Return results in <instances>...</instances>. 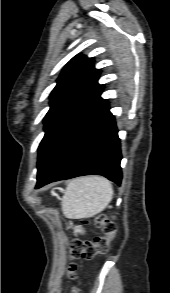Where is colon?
<instances>
[{"label":"colon","instance_id":"1","mask_svg":"<svg viewBox=\"0 0 170 293\" xmlns=\"http://www.w3.org/2000/svg\"><path fill=\"white\" fill-rule=\"evenodd\" d=\"M94 223L101 228L102 235L92 240H73L70 243V257L75 260H92L95 256L104 254L109 249V244L116 234L115 222L104 214L94 218ZM70 277L76 276V267L69 268Z\"/></svg>","mask_w":170,"mask_h":293}]
</instances>
